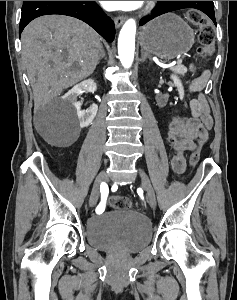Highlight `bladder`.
<instances>
[{
	"label": "bladder",
	"instance_id": "1",
	"mask_svg": "<svg viewBox=\"0 0 237 300\" xmlns=\"http://www.w3.org/2000/svg\"><path fill=\"white\" fill-rule=\"evenodd\" d=\"M152 238L150 221L142 214L129 210H115L93 215L86 224L88 243L101 251L136 253Z\"/></svg>",
	"mask_w": 237,
	"mask_h": 300
}]
</instances>
